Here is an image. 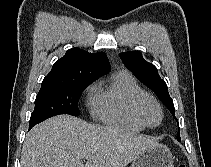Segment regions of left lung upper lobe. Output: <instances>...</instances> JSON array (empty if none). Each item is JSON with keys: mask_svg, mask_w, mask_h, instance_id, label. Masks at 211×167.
<instances>
[{"mask_svg": "<svg viewBox=\"0 0 211 167\" xmlns=\"http://www.w3.org/2000/svg\"><path fill=\"white\" fill-rule=\"evenodd\" d=\"M119 55L127 68L137 77V79L152 89L175 118L173 100L168 93L165 81L159 76L157 68L153 64L145 61L141 52L129 51L120 53ZM177 139L180 140L179 132L177 133Z\"/></svg>", "mask_w": 211, "mask_h": 167, "instance_id": "5c2ea615", "label": "left lung upper lobe"}]
</instances>
